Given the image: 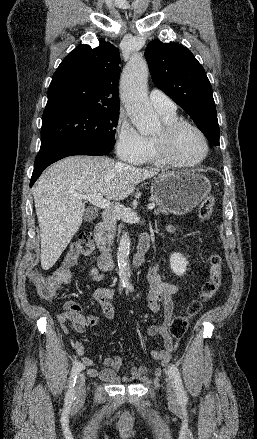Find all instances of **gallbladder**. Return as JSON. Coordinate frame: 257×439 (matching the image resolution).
I'll list each match as a JSON object with an SVG mask.
<instances>
[{
	"label": "gallbladder",
	"instance_id": "1",
	"mask_svg": "<svg viewBox=\"0 0 257 439\" xmlns=\"http://www.w3.org/2000/svg\"><path fill=\"white\" fill-rule=\"evenodd\" d=\"M84 219L86 220V221H88V220H90L91 219V216L89 215V213H85V215H84Z\"/></svg>",
	"mask_w": 257,
	"mask_h": 439
}]
</instances>
